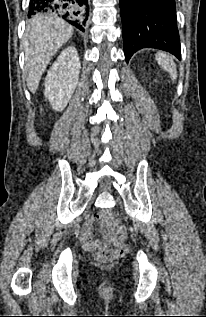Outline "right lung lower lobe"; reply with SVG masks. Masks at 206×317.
Wrapping results in <instances>:
<instances>
[{
  "instance_id": "obj_1",
  "label": "right lung lower lobe",
  "mask_w": 206,
  "mask_h": 317,
  "mask_svg": "<svg viewBox=\"0 0 206 317\" xmlns=\"http://www.w3.org/2000/svg\"><path fill=\"white\" fill-rule=\"evenodd\" d=\"M88 0H30L28 17L54 12L84 31L89 11Z\"/></svg>"
}]
</instances>
